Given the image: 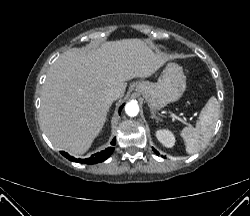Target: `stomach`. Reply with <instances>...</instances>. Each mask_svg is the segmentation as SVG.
<instances>
[{
	"label": "stomach",
	"mask_w": 250,
	"mask_h": 216,
	"mask_svg": "<svg viewBox=\"0 0 250 216\" xmlns=\"http://www.w3.org/2000/svg\"><path fill=\"white\" fill-rule=\"evenodd\" d=\"M186 89V77L182 68L175 63H168L162 78L156 83L138 82L135 92L143 96L148 106L159 110L171 102L177 101Z\"/></svg>",
	"instance_id": "obj_1"
}]
</instances>
